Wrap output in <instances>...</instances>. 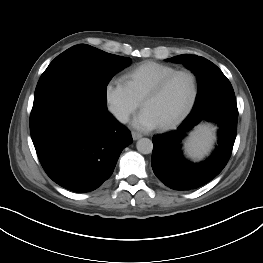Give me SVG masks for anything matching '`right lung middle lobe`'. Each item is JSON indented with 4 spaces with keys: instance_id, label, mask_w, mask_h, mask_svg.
<instances>
[{
    "instance_id": "dd1d6c3e",
    "label": "right lung middle lobe",
    "mask_w": 263,
    "mask_h": 263,
    "mask_svg": "<svg viewBox=\"0 0 263 263\" xmlns=\"http://www.w3.org/2000/svg\"><path fill=\"white\" fill-rule=\"evenodd\" d=\"M130 63L128 57L109 54L87 44L75 45L57 56L41 75L34 102L64 92H75L106 107V86Z\"/></svg>"
}]
</instances>
